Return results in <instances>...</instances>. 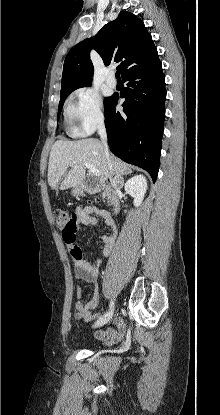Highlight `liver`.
I'll use <instances>...</instances> for the list:
<instances>
[{
	"label": "liver",
	"instance_id": "liver-1",
	"mask_svg": "<svg viewBox=\"0 0 220 415\" xmlns=\"http://www.w3.org/2000/svg\"><path fill=\"white\" fill-rule=\"evenodd\" d=\"M109 159L113 168V176H122L130 171L128 165L116 156L109 154ZM85 163H90L100 171L101 183L110 178V170L102 142L94 138L56 141L52 146L48 163L49 186L56 190L69 167L71 169L61 182L60 190L79 186L85 179Z\"/></svg>",
	"mask_w": 220,
	"mask_h": 415
}]
</instances>
